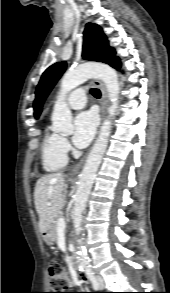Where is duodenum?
<instances>
[{
    "label": "duodenum",
    "instance_id": "duodenum-1",
    "mask_svg": "<svg viewBox=\"0 0 170 293\" xmlns=\"http://www.w3.org/2000/svg\"><path fill=\"white\" fill-rule=\"evenodd\" d=\"M72 266L75 270H78V268H79L78 261L75 257L72 258Z\"/></svg>",
    "mask_w": 170,
    "mask_h": 293
}]
</instances>
